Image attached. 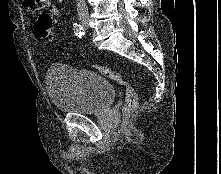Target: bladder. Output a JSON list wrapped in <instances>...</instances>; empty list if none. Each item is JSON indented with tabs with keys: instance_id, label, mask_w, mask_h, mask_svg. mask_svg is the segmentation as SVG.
Here are the masks:
<instances>
[{
	"instance_id": "obj_1",
	"label": "bladder",
	"mask_w": 221,
	"mask_h": 174,
	"mask_svg": "<svg viewBox=\"0 0 221 174\" xmlns=\"http://www.w3.org/2000/svg\"><path fill=\"white\" fill-rule=\"evenodd\" d=\"M45 82L50 101L65 112L98 114L115 98L114 88L104 76L67 64H52Z\"/></svg>"
}]
</instances>
